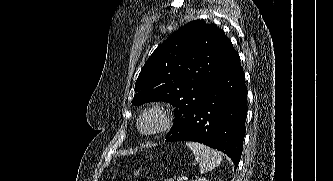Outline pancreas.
<instances>
[{"label":"pancreas","instance_id":"1","mask_svg":"<svg viewBox=\"0 0 333 181\" xmlns=\"http://www.w3.org/2000/svg\"><path fill=\"white\" fill-rule=\"evenodd\" d=\"M166 181H175L174 178L167 179Z\"/></svg>","mask_w":333,"mask_h":181}]
</instances>
